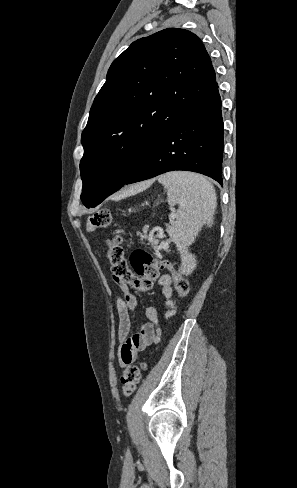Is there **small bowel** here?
<instances>
[{
  "label": "small bowel",
  "instance_id": "obj_1",
  "mask_svg": "<svg viewBox=\"0 0 297 488\" xmlns=\"http://www.w3.org/2000/svg\"><path fill=\"white\" fill-rule=\"evenodd\" d=\"M113 279L121 292L116 299L115 309L118 318L117 337L120 343L119 363L124 367L132 364L141 351L159 340L161 329L157 310L149 306L145 309L147 322L141 324L136 333L131 334V313L136 312L139 307L136 293H142L145 290L114 277ZM158 283L168 307L165 316L170 317L176 310L172 298V277L164 274L159 278Z\"/></svg>",
  "mask_w": 297,
  "mask_h": 488
}]
</instances>
